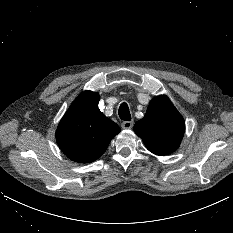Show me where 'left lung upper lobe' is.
<instances>
[{"mask_svg": "<svg viewBox=\"0 0 233 233\" xmlns=\"http://www.w3.org/2000/svg\"><path fill=\"white\" fill-rule=\"evenodd\" d=\"M185 130L184 119L166 96L151 100L145 116L134 125V131L146 148L156 155L175 151Z\"/></svg>", "mask_w": 233, "mask_h": 233, "instance_id": "left-lung-upper-lobe-1", "label": "left lung upper lobe"}]
</instances>
